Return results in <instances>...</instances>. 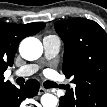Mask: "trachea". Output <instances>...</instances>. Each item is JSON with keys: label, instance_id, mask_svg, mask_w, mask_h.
<instances>
[{"label": "trachea", "instance_id": "trachea-1", "mask_svg": "<svg viewBox=\"0 0 107 107\" xmlns=\"http://www.w3.org/2000/svg\"><path fill=\"white\" fill-rule=\"evenodd\" d=\"M45 88H56L57 84L55 82L52 81H46L44 83Z\"/></svg>", "mask_w": 107, "mask_h": 107}]
</instances>
